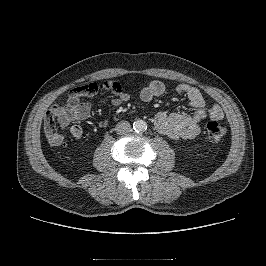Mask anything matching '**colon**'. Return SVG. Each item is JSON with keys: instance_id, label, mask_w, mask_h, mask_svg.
I'll list each match as a JSON object with an SVG mask.
<instances>
[{"instance_id": "obj_1", "label": "colon", "mask_w": 266, "mask_h": 266, "mask_svg": "<svg viewBox=\"0 0 266 266\" xmlns=\"http://www.w3.org/2000/svg\"><path fill=\"white\" fill-rule=\"evenodd\" d=\"M120 90L121 86L118 82L112 80H104L101 82H92L77 87L70 92V97H91L98 93L119 92ZM45 123L49 130L53 128L55 124V117L51 111L47 113ZM206 130L208 140L212 144H220L226 135L225 127L216 121L209 122L207 124Z\"/></svg>"}]
</instances>
